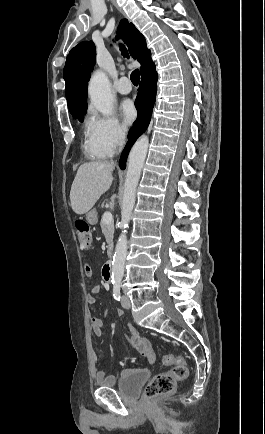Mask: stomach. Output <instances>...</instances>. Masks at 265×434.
Listing matches in <instances>:
<instances>
[{"label": "stomach", "instance_id": "1", "mask_svg": "<svg viewBox=\"0 0 265 434\" xmlns=\"http://www.w3.org/2000/svg\"><path fill=\"white\" fill-rule=\"evenodd\" d=\"M86 220H88L90 224H95V222H97L96 210H91V212H88V214H86Z\"/></svg>", "mask_w": 265, "mask_h": 434}]
</instances>
